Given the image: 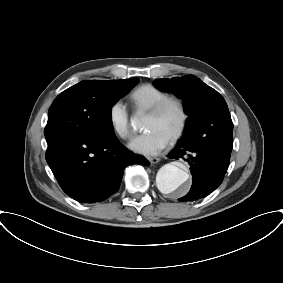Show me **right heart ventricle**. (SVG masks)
Here are the masks:
<instances>
[{"label": "right heart ventricle", "mask_w": 283, "mask_h": 283, "mask_svg": "<svg viewBox=\"0 0 283 283\" xmlns=\"http://www.w3.org/2000/svg\"><path fill=\"white\" fill-rule=\"evenodd\" d=\"M169 93L152 84H143L134 89L130 94V101L136 112H148Z\"/></svg>", "instance_id": "e07e8e85"}]
</instances>
